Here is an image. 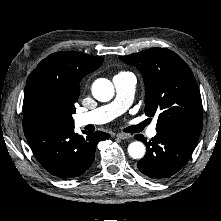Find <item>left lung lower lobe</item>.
<instances>
[{"instance_id":"0a47b994","label":"left lung lower lobe","mask_w":221,"mask_h":221,"mask_svg":"<svg viewBox=\"0 0 221 221\" xmlns=\"http://www.w3.org/2000/svg\"><path fill=\"white\" fill-rule=\"evenodd\" d=\"M199 135L179 128L159 130L150 142L144 136L136 135L135 138L147 147L145 156L137 163L139 170L153 179L174 175L191 157Z\"/></svg>"}]
</instances>
